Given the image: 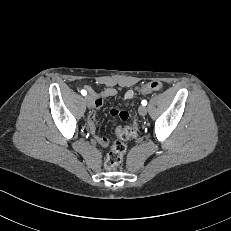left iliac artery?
Instances as JSON below:
<instances>
[{
    "instance_id": "left-iliac-artery-1",
    "label": "left iliac artery",
    "mask_w": 231,
    "mask_h": 231,
    "mask_svg": "<svg viewBox=\"0 0 231 231\" xmlns=\"http://www.w3.org/2000/svg\"><path fill=\"white\" fill-rule=\"evenodd\" d=\"M141 103H142L143 106L147 105V101L146 100H143Z\"/></svg>"
}]
</instances>
